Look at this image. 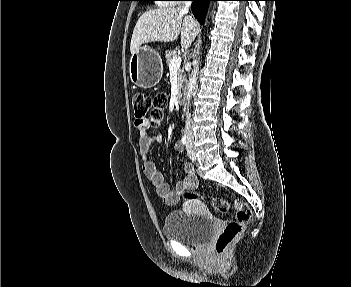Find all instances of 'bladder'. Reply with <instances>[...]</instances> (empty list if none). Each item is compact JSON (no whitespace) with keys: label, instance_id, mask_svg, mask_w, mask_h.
<instances>
[{"label":"bladder","instance_id":"1","mask_svg":"<svg viewBox=\"0 0 351 287\" xmlns=\"http://www.w3.org/2000/svg\"><path fill=\"white\" fill-rule=\"evenodd\" d=\"M215 227L216 220L209 215L195 217L194 213L177 210L166 216L163 235L183 245L199 246L212 236Z\"/></svg>","mask_w":351,"mask_h":287}]
</instances>
